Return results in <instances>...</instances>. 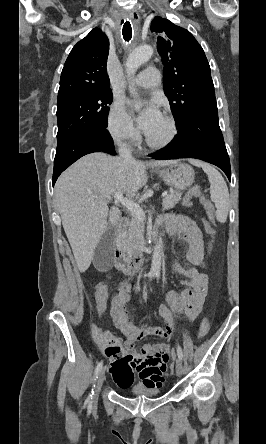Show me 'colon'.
I'll return each instance as SVG.
<instances>
[{
  "label": "colon",
  "instance_id": "1",
  "mask_svg": "<svg viewBox=\"0 0 266 444\" xmlns=\"http://www.w3.org/2000/svg\"><path fill=\"white\" fill-rule=\"evenodd\" d=\"M195 197H200L202 199L203 207H204V209L207 213V216L209 218V220H205V228H206V230L209 234V237H210L209 242H208V249H210V246H211L213 239L216 235L215 221H214V217H213V207H212L210 201L204 197V195L202 193V189L199 186L192 187L186 193V195L184 197V201L186 204H190L192 199ZM125 288H126V285H121L118 292L113 296V298L111 300V305H113L116 302L119 295L121 294V292ZM209 329H210V320H209V318L205 317L199 326V329L196 333V338L197 339L203 338L207 334Z\"/></svg>",
  "mask_w": 266,
  "mask_h": 444
}]
</instances>
